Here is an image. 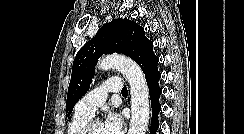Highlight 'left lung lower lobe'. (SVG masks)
<instances>
[{"label": "left lung lower lobe", "mask_w": 244, "mask_h": 134, "mask_svg": "<svg viewBox=\"0 0 244 134\" xmlns=\"http://www.w3.org/2000/svg\"><path fill=\"white\" fill-rule=\"evenodd\" d=\"M161 78V74L159 71L152 72L147 78V84L149 87L151 106H152V121H151V132L150 134H156V131L159 127L158 114L161 110V106L159 103V97L161 95L162 90L159 87V79Z\"/></svg>", "instance_id": "0a47b994"}]
</instances>
